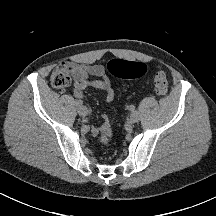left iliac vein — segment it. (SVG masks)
Segmentation results:
<instances>
[{
    "instance_id": "obj_1",
    "label": "left iliac vein",
    "mask_w": 216,
    "mask_h": 216,
    "mask_svg": "<svg viewBox=\"0 0 216 216\" xmlns=\"http://www.w3.org/2000/svg\"><path fill=\"white\" fill-rule=\"evenodd\" d=\"M139 119H140L139 112L138 111H132V113L130 114V120L133 123H136L139 121Z\"/></svg>"
}]
</instances>
